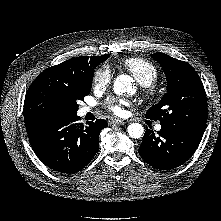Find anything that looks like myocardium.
<instances>
[{
  "label": "myocardium",
  "instance_id": "1",
  "mask_svg": "<svg viewBox=\"0 0 221 221\" xmlns=\"http://www.w3.org/2000/svg\"><path fill=\"white\" fill-rule=\"evenodd\" d=\"M144 94L146 97H153L156 94V90L153 86H146L144 87Z\"/></svg>",
  "mask_w": 221,
  "mask_h": 221
}]
</instances>
